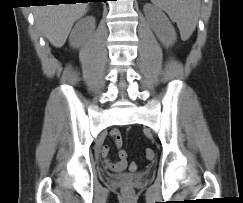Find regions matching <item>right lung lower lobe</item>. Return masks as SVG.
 Returning <instances> with one entry per match:
<instances>
[{"instance_id":"1","label":"right lung lower lobe","mask_w":243,"mask_h":203,"mask_svg":"<svg viewBox=\"0 0 243 203\" xmlns=\"http://www.w3.org/2000/svg\"><path fill=\"white\" fill-rule=\"evenodd\" d=\"M45 1H55V0H40L39 2H38V4H35V5H45ZM61 2H50V3H55V4H57V3H68V4H70V3H77V1H86V3H88V1H93V2H105L106 0H60Z\"/></svg>"}]
</instances>
